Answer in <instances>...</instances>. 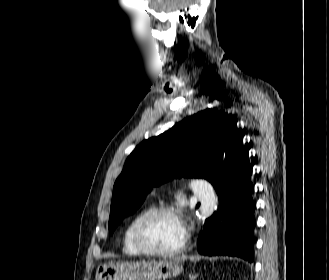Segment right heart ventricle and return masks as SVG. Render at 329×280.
I'll return each instance as SVG.
<instances>
[{
  "mask_svg": "<svg viewBox=\"0 0 329 280\" xmlns=\"http://www.w3.org/2000/svg\"><path fill=\"white\" fill-rule=\"evenodd\" d=\"M149 210L143 208L135 213L127 223L123 232V252L128 256H141L143 252L137 247L134 241V229L138 220Z\"/></svg>",
  "mask_w": 329,
  "mask_h": 280,
  "instance_id": "obj_1",
  "label": "right heart ventricle"
}]
</instances>
